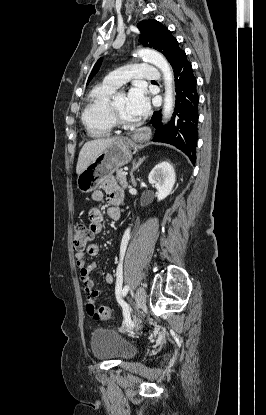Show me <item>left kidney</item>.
<instances>
[{
  "mask_svg": "<svg viewBox=\"0 0 266 415\" xmlns=\"http://www.w3.org/2000/svg\"><path fill=\"white\" fill-rule=\"evenodd\" d=\"M149 183L157 189V199H165L171 192L176 181V175L173 166L167 162L157 164L149 176Z\"/></svg>",
  "mask_w": 266,
  "mask_h": 415,
  "instance_id": "obj_1",
  "label": "left kidney"
}]
</instances>
